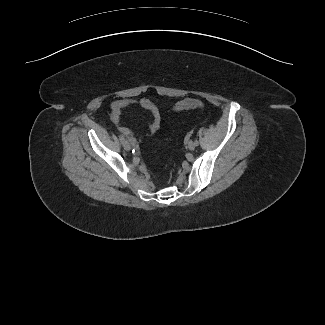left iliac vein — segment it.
I'll return each instance as SVG.
<instances>
[{
  "mask_svg": "<svg viewBox=\"0 0 325 325\" xmlns=\"http://www.w3.org/2000/svg\"><path fill=\"white\" fill-rule=\"evenodd\" d=\"M187 146L190 150H194L196 147L195 143L192 140L188 142Z\"/></svg>",
  "mask_w": 325,
  "mask_h": 325,
  "instance_id": "left-iliac-vein-1",
  "label": "left iliac vein"
}]
</instances>
